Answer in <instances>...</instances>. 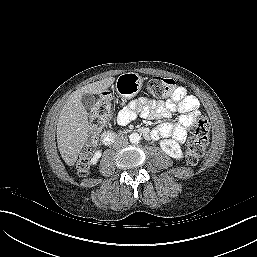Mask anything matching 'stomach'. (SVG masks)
Here are the masks:
<instances>
[{"label":"stomach","mask_w":257,"mask_h":257,"mask_svg":"<svg viewBox=\"0 0 257 257\" xmlns=\"http://www.w3.org/2000/svg\"><path fill=\"white\" fill-rule=\"evenodd\" d=\"M143 79L137 73L128 72L121 74L116 80V90L123 98H133L141 90Z\"/></svg>","instance_id":"0dacf381"}]
</instances>
